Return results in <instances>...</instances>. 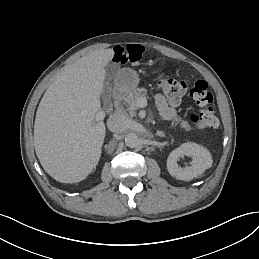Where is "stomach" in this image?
Returning a JSON list of instances; mask_svg holds the SVG:
<instances>
[{
    "label": "stomach",
    "instance_id": "1",
    "mask_svg": "<svg viewBox=\"0 0 259 259\" xmlns=\"http://www.w3.org/2000/svg\"><path fill=\"white\" fill-rule=\"evenodd\" d=\"M114 84L118 90L126 93L130 92L139 84L138 74L131 69H121L116 73Z\"/></svg>",
    "mask_w": 259,
    "mask_h": 259
}]
</instances>
